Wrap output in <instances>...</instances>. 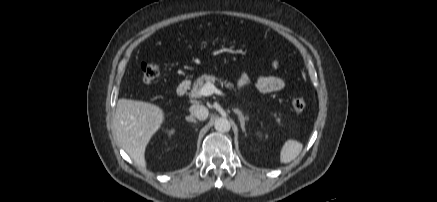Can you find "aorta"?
Instances as JSON below:
<instances>
[{
	"mask_svg": "<svg viewBox=\"0 0 437 202\" xmlns=\"http://www.w3.org/2000/svg\"><path fill=\"white\" fill-rule=\"evenodd\" d=\"M214 127L219 132H228L230 131L231 125L228 119L220 117L215 120Z\"/></svg>",
	"mask_w": 437,
	"mask_h": 202,
	"instance_id": "obj_1",
	"label": "aorta"
}]
</instances>
